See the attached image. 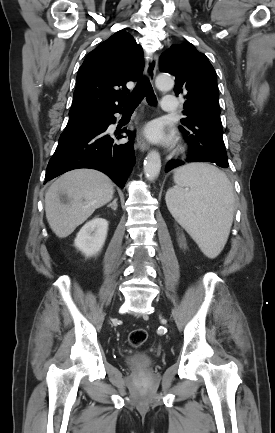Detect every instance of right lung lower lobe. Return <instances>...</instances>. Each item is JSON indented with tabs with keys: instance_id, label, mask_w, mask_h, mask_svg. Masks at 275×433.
Instances as JSON below:
<instances>
[{
	"instance_id": "1",
	"label": "right lung lower lobe",
	"mask_w": 275,
	"mask_h": 433,
	"mask_svg": "<svg viewBox=\"0 0 275 433\" xmlns=\"http://www.w3.org/2000/svg\"><path fill=\"white\" fill-rule=\"evenodd\" d=\"M96 112L88 115L78 123L67 125L59 138V144L50 159L45 180L73 169L92 168L107 174L118 186L124 188L128 175L135 162L133 141L116 144V139L124 136L121 133L107 134L108 126L116 122L114 113ZM129 138L134 133L127 131Z\"/></svg>"
}]
</instances>
